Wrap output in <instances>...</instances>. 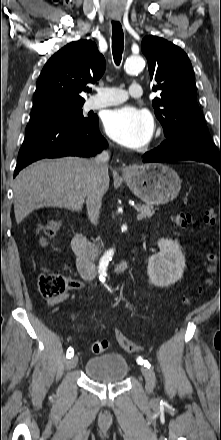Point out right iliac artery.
I'll use <instances>...</instances> for the list:
<instances>
[{
  "instance_id": "82829eb1",
  "label": "right iliac artery",
  "mask_w": 221,
  "mask_h": 440,
  "mask_svg": "<svg viewBox=\"0 0 221 440\" xmlns=\"http://www.w3.org/2000/svg\"><path fill=\"white\" fill-rule=\"evenodd\" d=\"M73 355H74V350L72 348H68L66 357L71 358L73 357Z\"/></svg>"
}]
</instances>
